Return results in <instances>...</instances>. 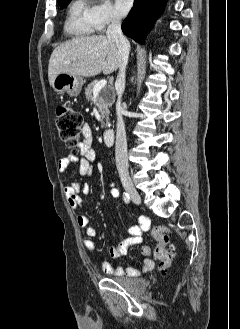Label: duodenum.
Returning <instances> with one entry per match:
<instances>
[{
  "instance_id": "obj_1",
  "label": "duodenum",
  "mask_w": 240,
  "mask_h": 329,
  "mask_svg": "<svg viewBox=\"0 0 240 329\" xmlns=\"http://www.w3.org/2000/svg\"><path fill=\"white\" fill-rule=\"evenodd\" d=\"M115 133L112 128H108L103 133V140L107 145H112L114 143Z\"/></svg>"
}]
</instances>
